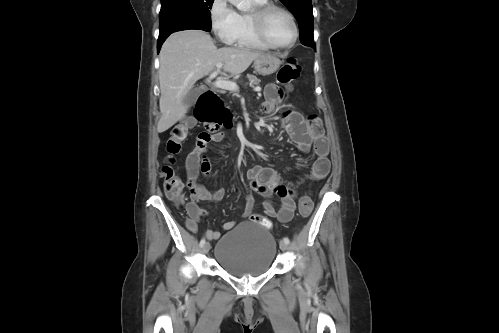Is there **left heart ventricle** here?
I'll use <instances>...</instances> for the list:
<instances>
[{"label":"left heart ventricle","mask_w":499,"mask_h":333,"mask_svg":"<svg viewBox=\"0 0 499 333\" xmlns=\"http://www.w3.org/2000/svg\"><path fill=\"white\" fill-rule=\"evenodd\" d=\"M266 33L269 39L278 45H284L293 37V27L290 19L281 11H272L265 23Z\"/></svg>","instance_id":"left-heart-ventricle-1"}]
</instances>
